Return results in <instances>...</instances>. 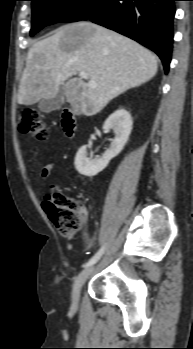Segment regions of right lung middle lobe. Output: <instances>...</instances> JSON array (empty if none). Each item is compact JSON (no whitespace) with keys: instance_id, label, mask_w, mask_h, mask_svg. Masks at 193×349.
<instances>
[{"instance_id":"1","label":"right lung middle lobe","mask_w":193,"mask_h":349,"mask_svg":"<svg viewBox=\"0 0 193 349\" xmlns=\"http://www.w3.org/2000/svg\"><path fill=\"white\" fill-rule=\"evenodd\" d=\"M32 28L30 35L57 22L82 20L101 0H31Z\"/></svg>"}]
</instances>
